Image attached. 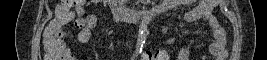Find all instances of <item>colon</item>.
<instances>
[{
    "label": "colon",
    "instance_id": "5ec220e1",
    "mask_svg": "<svg viewBox=\"0 0 267 60\" xmlns=\"http://www.w3.org/2000/svg\"><path fill=\"white\" fill-rule=\"evenodd\" d=\"M84 1H63L58 8L55 18L53 19L54 27L47 30L43 39V53L47 60H68L70 52L63 43V27L66 26L73 18L72 7L74 4H81ZM77 29L83 26L82 21L75 20Z\"/></svg>",
    "mask_w": 267,
    "mask_h": 60
}]
</instances>
